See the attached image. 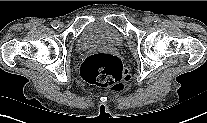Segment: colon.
Returning <instances> with one entry per match:
<instances>
[{
    "instance_id": "5ec220e1",
    "label": "colon",
    "mask_w": 207,
    "mask_h": 123,
    "mask_svg": "<svg viewBox=\"0 0 207 123\" xmlns=\"http://www.w3.org/2000/svg\"><path fill=\"white\" fill-rule=\"evenodd\" d=\"M83 79L102 89L122 91L130 74L119 58L111 54L99 53L87 57L81 66Z\"/></svg>"
}]
</instances>
